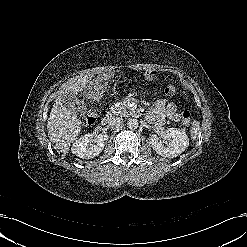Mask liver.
I'll return each instance as SVG.
<instances>
[{
	"instance_id": "1",
	"label": "liver",
	"mask_w": 247,
	"mask_h": 247,
	"mask_svg": "<svg viewBox=\"0 0 247 247\" xmlns=\"http://www.w3.org/2000/svg\"><path fill=\"white\" fill-rule=\"evenodd\" d=\"M92 78L91 74L71 78L63 84L53 108L50 112L47 130L50 140L55 144V149H59L63 154L68 153L70 144L76 139L81 130V121L77 118V113L66 108L63 102V94L66 91L78 92L84 88Z\"/></svg>"
}]
</instances>
